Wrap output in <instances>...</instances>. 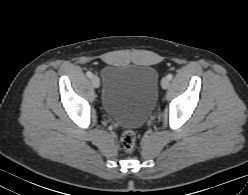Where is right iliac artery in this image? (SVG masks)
Wrapping results in <instances>:
<instances>
[{"mask_svg": "<svg viewBox=\"0 0 248 195\" xmlns=\"http://www.w3.org/2000/svg\"><path fill=\"white\" fill-rule=\"evenodd\" d=\"M86 75H87V77H89V78H92V76H93L92 72H90V71H88V72L86 73Z\"/></svg>", "mask_w": 248, "mask_h": 195, "instance_id": "right-iliac-artery-1", "label": "right iliac artery"}]
</instances>
